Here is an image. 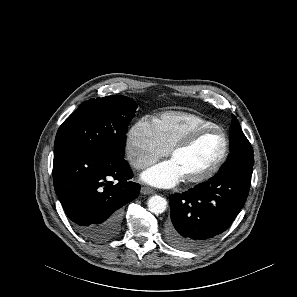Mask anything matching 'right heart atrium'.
Listing matches in <instances>:
<instances>
[{
	"instance_id": "obj_1",
	"label": "right heart atrium",
	"mask_w": 297,
	"mask_h": 297,
	"mask_svg": "<svg viewBox=\"0 0 297 297\" xmlns=\"http://www.w3.org/2000/svg\"><path fill=\"white\" fill-rule=\"evenodd\" d=\"M125 152L131 166L140 170L166 156L168 150L159 142L153 123L140 119L126 134Z\"/></svg>"
}]
</instances>
